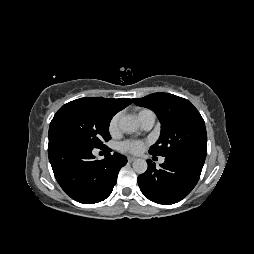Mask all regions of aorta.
<instances>
[{"label":"aorta","instance_id":"aorta-1","mask_svg":"<svg viewBox=\"0 0 254 254\" xmlns=\"http://www.w3.org/2000/svg\"><path fill=\"white\" fill-rule=\"evenodd\" d=\"M119 127L124 133H133L138 130V123L131 117H124L119 122ZM133 170L138 174H143L147 171L148 165L144 159H136L132 164Z\"/></svg>","mask_w":254,"mask_h":254}]
</instances>
